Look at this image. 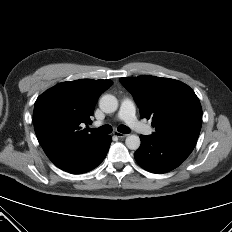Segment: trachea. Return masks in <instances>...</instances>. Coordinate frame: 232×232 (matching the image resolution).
<instances>
[{
    "mask_svg": "<svg viewBox=\"0 0 232 232\" xmlns=\"http://www.w3.org/2000/svg\"><path fill=\"white\" fill-rule=\"evenodd\" d=\"M117 130L123 134H128L130 132V129L125 125H120ZM90 131L97 135H105L112 132V127L110 125H104L98 129L91 128Z\"/></svg>",
    "mask_w": 232,
    "mask_h": 232,
    "instance_id": "1",
    "label": "trachea"
}]
</instances>
